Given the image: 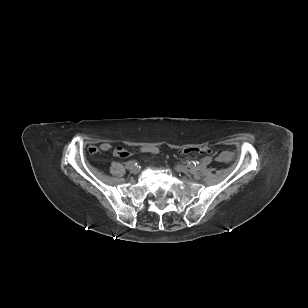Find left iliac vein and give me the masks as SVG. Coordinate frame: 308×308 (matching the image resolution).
Returning <instances> with one entry per match:
<instances>
[{"label": "left iliac vein", "mask_w": 308, "mask_h": 308, "mask_svg": "<svg viewBox=\"0 0 308 308\" xmlns=\"http://www.w3.org/2000/svg\"><path fill=\"white\" fill-rule=\"evenodd\" d=\"M175 170L177 172H182V173H185V174L189 173V169L186 166H183V165H176Z\"/></svg>", "instance_id": "left-iliac-vein-1"}]
</instances>
